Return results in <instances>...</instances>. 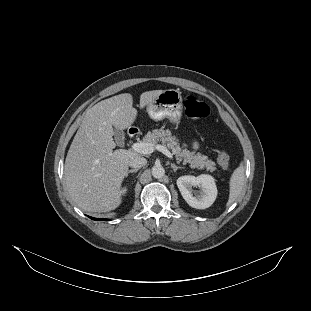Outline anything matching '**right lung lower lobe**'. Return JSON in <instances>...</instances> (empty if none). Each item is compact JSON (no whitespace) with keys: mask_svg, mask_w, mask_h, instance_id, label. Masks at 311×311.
<instances>
[{"mask_svg":"<svg viewBox=\"0 0 311 311\" xmlns=\"http://www.w3.org/2000/svg\"><path fill=\"white\" fill-rule=\"evenodd\" d=\"M90 218L93 220H106V219H97V218H92V217H90Z\"/></svg>","mask_w":311,"mask_h":311,"instance_id":"right-lung-lower-lobe-1","label":"right lung lower lobe"}]
</instances>
